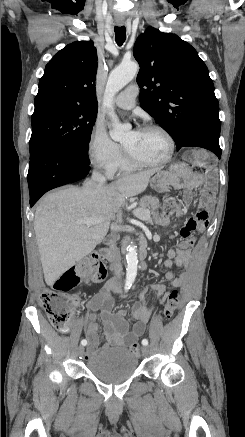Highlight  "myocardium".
<instances>
[{
	"label": "myocardium",
	"instance_id": "f54148a6",
	"mask_svg": "<svg viewBox=\"0 0 245 437\" xmlns=\"http://www.w3.org/2000/svg\"><path fill=\"white\" fill-rule=\"evenodd\" d=\"M139 130L159 131L165 137V139L168 143L167 154L162 159H159L156 161H146V160H142V159H139V158L133 156L128 151V149L124 146V152H125L126 159L130 163H132L133 165L140 166V167H158V166H162V165H165L168 162H170V160L173 158V155H174L175 149H176L175 140H174L173 136L171 135V133L165 127H163L159 124H154V123L145 124V125L141 126L139 128Z\"/></svg>",
	"mask_w": 245,
	"mask_h": 437
}]
</instances>
